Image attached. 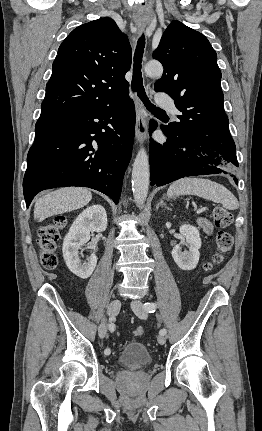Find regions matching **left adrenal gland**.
Listing matches in <instances>:
<instances>
[{
  "mask_svg": "<svg viewBox=\"0 0 262 431\" xmlns=\"http://www.w3.org/2000/svg\"><path fill=\"white\" fill-rule=\"evenodd\" d=\"M160 206H164L167 210H171V208H169L166 203L164 202L163 199L160 200V202L157 204L156 209H158Z\"/></svg>",
  "mask_w": 262,
  "mask_h": 431,
  "instance_id": "obj_1",
  "label": "left adrenal gland"
}]
</instances>
